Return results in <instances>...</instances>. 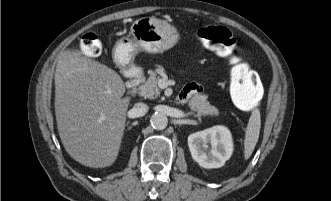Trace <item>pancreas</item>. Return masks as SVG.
I'll use <instances>...</instances> for the list:
<instances>
[{
  "label": "pancreas",
  "mask_w": 331,
  "mask_h": 201,
  "mask_svg": "<svg viewBox=\"0 0 331 201\" xmlns=\"http://www.w3.org/2000/svg\"><path fill=\"white\" fill-rule=\"evenodd\" d=\"M159 77L155 72H150L147 80L142 79V84L139 86V94L144 98L156 99L160 96L158 88ZM189 107L197 116H218V109L207 101L206 95H197L189 101Z\"/></svg>",
  "instance_id": "cf45deb5"
}]
</instances>
